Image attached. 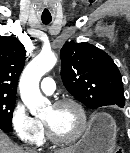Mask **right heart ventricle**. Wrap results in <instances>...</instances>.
Wrapping results in <instances>:
<instances>
[{"label": "right heart ventricle", "instance_id": "e07e8e85", "mask_svg": "<svg viewBox=\"0 0 130 153\" xmlns=\"http://www.w3.org/2000/svg\"><path fill=\"white\" fill-rule=\"evenodd\" d=\"M40 123H41V125H42V127H43V129H44V126H43V124H42V122L40 121V120H38ZM43 138H44V136H43ZM43 141V140H42Z\"/></svg>", "mask_w": 130, "mask_h": 153}]
</instances>
